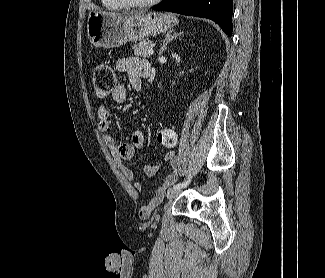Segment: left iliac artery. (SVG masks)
<instances>
[{
  "label": "left iliac artery",
  "mask_w": 325,
  "mask_h": 278,
  "mask_svg": "<svg viewBox=\"0 0 325 278\" xmlns=\"http://www.w3.org/2000/svg\"><path fill=\"white\" fill-rule=\"evenodd\" d=\"M189 182H190V178H188V180L185 181V182L178 183V184L174 185V188H183V187H186L189 184Z\"/></svg>",
  "instance_id": "1"
}]
</instances>
